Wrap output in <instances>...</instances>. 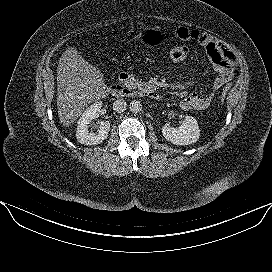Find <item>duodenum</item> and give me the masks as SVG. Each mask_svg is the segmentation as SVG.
Listing matches in <instances>:
<instances>
[{
	"label": "duodenum",
	"mask_w": 272,
	"mask_h": 272,
	"mask_svg": "<svg viewBox=\"0 0 272 272\" xmlns=\"http://www.w3.org/2000/svg\"><path fill=\"white\" fill-rule=\"evenodd\" d=\"M131 82V76L128 73L122 72L118 76V82L110 86L109 91L116 96H130V95H142L151 99L160 100L161 96L150 85H143L138 87L137 90L128 88L125 84Z\"/></svg>",
	"instance_id": "obj_1"
}]
</instances>
